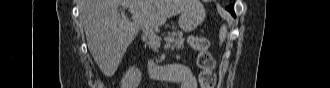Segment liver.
I'll return each instance as SVG.
<instances>
[{"mask_svg":"<svg viewBox=\"0 0 330 88\" xmlns=\"http://www.w3.org/2000/svg\"><path fill=\"white\" fill-rule=\"evenodd\" d=\"M191 4L192 0H81L80 20L94 61L104 75H114L138 35L140 27L118 13L119 5L140 11L149 26L159 27Z\"/></svg>","mask_w":330,"mask_h":88,"instance_id":"liver-1","label":"liver"}]
</instances>
